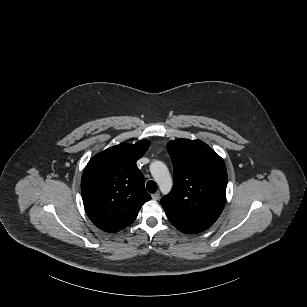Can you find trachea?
I'll return each instance as SVG.
<instances>
[{"mask_svg": "<svg viewBox=\"0 0 307 307\" xmlns=\"http://www.w3.org/2000/svg\"><path fill=\"white\" fill-rule=\"evenodd\" d=\"M146 189L150 192V193H155L157 191V184L155 181L149 180L146 183Z\"/></svg>", "mask_w": 307, "mask_h": 307, "instance_id": "obj_1", "label": "trachea"}]
</instances>
